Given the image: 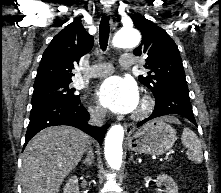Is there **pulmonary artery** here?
<instances>
[{"instance_id":"obj_1","label":"pulmonary artery","mask_w":221,"mask_h":193,"mask_svg":"<svg viewBox=\"0 0 221 193\" xmlns=\"http://www.w3.org/2000/svg\"><path fill=\"white\" fill-rule=\"evenodd\" d=\"M120 65L125 68L132 67L135 61L128 55H123L119 59ZM114 72V66L112 64H101L95 67L91 72L87 74L89 78H101L106 77Z\"/></svg>"}]
</instances>
